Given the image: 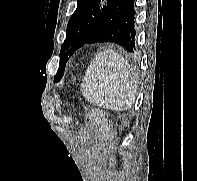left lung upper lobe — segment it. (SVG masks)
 Instances as JSON below:
<instances>
[{"label": "left lung upper lobe", "mask_w": 197, "mask_h": 181, "mask_svg": "<svg viewBox=\"0 0 197 181\" xmlns=\"http://www.w3.org/2000/svg\"><path fill=\"white\" fill-rule=\"evenodd\" d=\"M113 0H78V5L69 19L67 36L61 47L60 63L55 81H60L70 56L87 43L101 18Z\"/></svg>", "instance_id": "5c2ea615"}]
</instances>
